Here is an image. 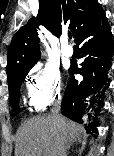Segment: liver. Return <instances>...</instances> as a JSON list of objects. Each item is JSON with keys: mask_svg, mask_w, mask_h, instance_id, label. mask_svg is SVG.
<instances>
[{"mask_svg": "<svg viewBox=\"0 0 114 156\" xmlns=\"http://www.w3.org/2000/svg\"><path fill=\"white\" fill-rule=\"evenodd\" d=\"M82 133L80 125L63 116L33 117L17 132L15 156H58L63 145L68 146Z\"/></svg>", "mask_w": 114, "mask_h": 156, "instance_id": "6515ba94", "label": "liver"}]
</instances>
